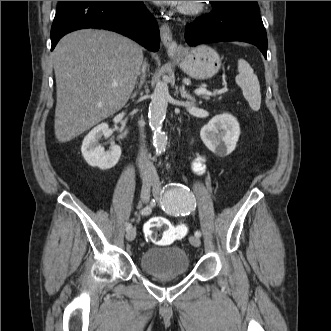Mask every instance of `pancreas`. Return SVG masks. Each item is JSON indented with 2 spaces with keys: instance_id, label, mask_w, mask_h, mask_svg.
<instances>
[{
  "instance_id": "obj_1",
  "label": "pancreas",
  "mask_w": 331,
  "mask_h": 331,
  "mask_svg": "<svg viewBox=\"0 0 331 331\" xmlns=\"http://www.w3.org/2000/svg\"><path fill=\"white\" fill-rule=\"evenodd\" d=\"M202 98L205 99V100H209L210 99V95L205 94V95L202 96Z\"/></svg>"
}]
</instances>
